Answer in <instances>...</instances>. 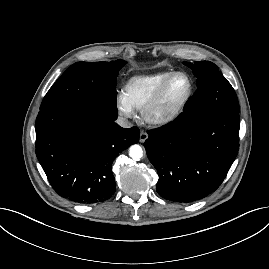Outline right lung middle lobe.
Listing matches in <instances>:
<instances>
[{
	"label": "right lung middle lobe",
	"mask_w": 269,
	"mask_h": 269,
	"mask_svg": "<svg viewBox=\"0 0 269 269\" xmlns=\"http://www.w3.org/2000/svg\"><path fill=\"white\" fill-rule=\"evenodd\" d=\"M77 62L71 65L45 95L40 110L55 104H73L117 118L116 77L125 64Z\"/></svg>",
	"instance_id": "right-lung-middle-lobe-1"
}]
</instances>
